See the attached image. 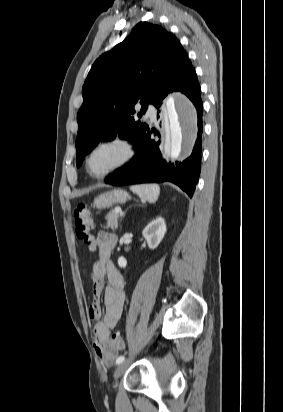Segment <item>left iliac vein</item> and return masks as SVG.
Listing matches in <instances>:
<instances>
[{"label":"left iliac vein","mask_w":283,"mask_h":412,"mask_svg":"<svg viewBox=\"0 0 283 412\" xmlns=\"http://www.w3.org/2000/svg\"><path fill=\"white\" fill-rule=\"evenodd\" d=\"M128 366H129V362L120 363L115 370L114 378L115 379L119 378L124 373V371L127 369Z\"/></svg>","instance_id":"4c4485c4"}]
</instances>
